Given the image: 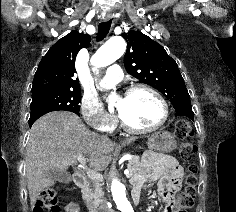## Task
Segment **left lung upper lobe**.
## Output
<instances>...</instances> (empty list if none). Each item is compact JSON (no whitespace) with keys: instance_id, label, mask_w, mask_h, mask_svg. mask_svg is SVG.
<instances>
[{"instance_id":"left-lung-upper-lobe-1","label":"left lung upper lobe","mask_w":236,"mask_h":212,"mask_svg":"<svg viewBox=\"0 0 236 212\" xmlns=\"http://www.w3.org/2000/svg\"><path fill=\"white\" fill-rule=\"evenodd\" d=\"M127 41L126 71L168 98L173 107L190 104V96L176 61L157 42L140 31L122 34Z\"/></svg>"}]
</instances>
